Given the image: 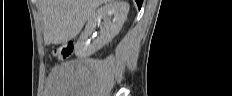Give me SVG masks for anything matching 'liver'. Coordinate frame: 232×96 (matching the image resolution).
Returning a JSON list of instances; mask_svg holds the SVG:
<instances>
[{"instance_id":"6515ba94","label":"liver","mask_w":232,"mask_h":96,"mask_svg":"<svg viewBox=\"0 0 232 96\" xmlns=\"http://www.w3.org/2000/svg\"><path fill=\"white\" fill-rule=\"evenodd\" d=\"M108 1L39 0L45 44H61L76 37L95 10Z\"/></svg>"}]
</instances>
